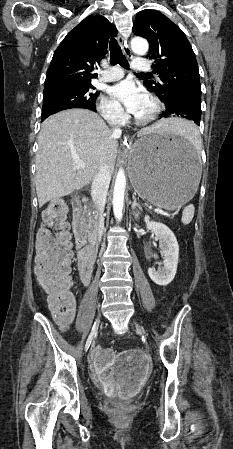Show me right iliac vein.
<instances>
[{
  "instance_id": "1",
  "label": "right iliac vein",
  "mask_w": 233,
  "mask_h": 449,
  "mask_svg": "<svg viewBox=\"0 0 233 449\" xmlns=\"http://www.w3.org/2000/svg\"><path fill=\"white\" fill-rule=\"evenodd\" d=\"M99 322H100V315L97 317V319H96V321H95V323H94V324H95V327H92V330H91V332H90V335H89V337H88L86 343H87V342L90 343V342L92 341L94 335H95L96 332H97ZM93 326H94V325H93ZM90 344H91V343H90Z\"/></svg>"
}]
</instances>
